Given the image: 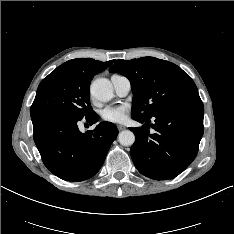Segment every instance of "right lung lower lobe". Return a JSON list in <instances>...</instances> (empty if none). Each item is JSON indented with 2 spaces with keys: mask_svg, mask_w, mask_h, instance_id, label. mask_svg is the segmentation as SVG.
<instances>
[{
  "mask_svg": "<svg viewBox=\"0 0 234 234\" xmlns=\"http://www.w3.org/2000/svg\"><path fill=\"white\" fill-rule=\"evenodd\" d=\"M34 141L47 169L66 181H83L94 176L104 163L106 154L118 135L116 126L101 122L93 131L81 133L77 123H96L94 112L85 117L57 111L31 113Z\"/></svg>",
  "mask_w": 234,
  "mask_h": 234,
  "instance_id": "1",
  "label": "right lung lower lobe"
}]
</instances>
